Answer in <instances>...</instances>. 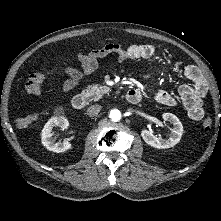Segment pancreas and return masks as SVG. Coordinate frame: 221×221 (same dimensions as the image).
Wrapping results in <instances>:
<instances>
[{"label":"pancreas","mask_w":221,"mask_h":221,"mask_svg":"<svg viewBox=\"0 0 221 221\" xmlns=\"http://www.w3.org/2000/svg\"><path fill=\"white\" fill-rule=\"evenodd\" d=\"M109 88L103 85H89L81 92V95L86 97L89 101H97L102 98L103 94L107 93Z\"/></svg>","instance_id":"pancreas-1"}]
</instances>
